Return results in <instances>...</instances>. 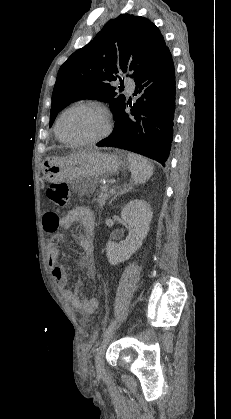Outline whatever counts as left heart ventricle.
Masks as SVG:
<instances>
[{
  "mask_svg": "<svg viewBox=\"0 0 231 419\" xmlns=\"http://www.w3.org/2000/svg\"><path fill=\"white\" fill-rule=\"evenodd\" d=\"M104 119L96 111L76 109L64 116L60 129L62 134L73 140L92 138L102 132Z\"/></svg>",
  "mask_w": 231,
  "mask_h": 419,
  "instance_id": "left-heart-ventricle-1",
  "label": "left heart ventricle"
}]
</instances>
